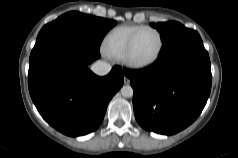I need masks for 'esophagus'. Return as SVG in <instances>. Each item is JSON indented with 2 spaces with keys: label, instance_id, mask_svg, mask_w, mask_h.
Returning <instances> with one entry per match:
<instances>
[{
  "label": "esophagus",
  "instance_id": "obj_1",
  "mask_svg": "<svg viewBox=\"0 0 238 158\" xmlns=\"http://www.w3.org/2000/svg\"><path fill=\"white\" fill-rule=\"evenodd\" d=\"M124 83L125 84H129L130 83V79L126 76H124Z\"/></svg>",
  "mask_w": 238,
  "mask_h": 158
}]
</instances>
